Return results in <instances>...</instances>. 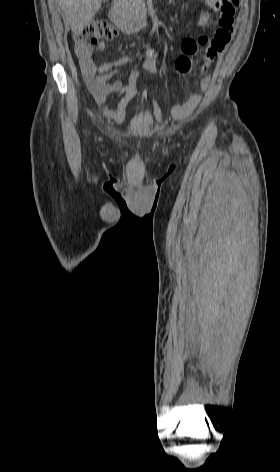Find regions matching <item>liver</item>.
<instances>
[{
  "label": "liver",
  "instance_id": "6515ba94",
  "mask_svg": "<svg viewBox=\"0 0 280 472\" xmlns=\"http://www.w3.org/2000/svg\"><path fill=\"white\" fill-rule=\"evenodd\" d=\"M102 0H59L74 34H80L92 21L101 6Z\"/></svg>",
  "mask_w": 280,
  "mask_h": 472
}]
</instances>
